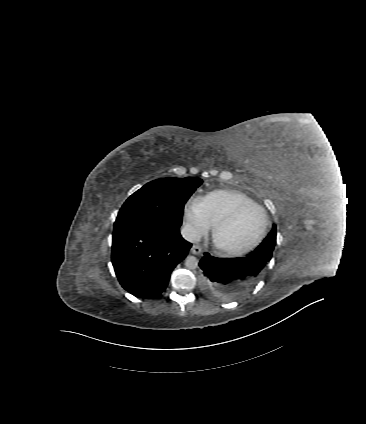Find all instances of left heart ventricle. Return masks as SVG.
Masks as SVG:
<instances>
[{"label": "left heart ventricle", "instance_id": "obj_1", "mask_svg": "<svg viewBox=\"0 0 366 424\" xmlns=\"http://www.w3.org/2000/svg\"><path fill=\"white\" fill-rule=\"evenodd\" d=\"M263 215L257 208L242 211L237 218L220 230L217 240L228 247H242L251 243L262 230Z\"/></svg>", "mask_w": 366, "mask_h": 424}]
</instances>
